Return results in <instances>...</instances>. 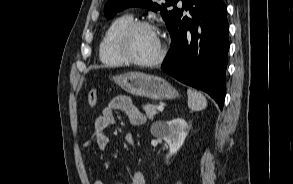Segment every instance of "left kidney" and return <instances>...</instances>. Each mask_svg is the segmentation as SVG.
Wrapping results in <instances>:
<instances>
[{"mask_svg": "<svg viewBox=\"0 0 293 184\" xmlns=\"http://www.w3.org/2000/svg\"><path fill=\"white\" fill-rule=\"evenodd\" d=\"M190 129L191 125L182 118H176L163 124L161 137L169 145V153L166 156L167 160L182 147Z\"/></svg>", "mask_w": 293, "mask_h": 184, "instance_id": "1", "label": "left kidney"}]
</instances>
